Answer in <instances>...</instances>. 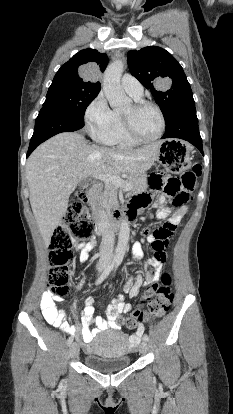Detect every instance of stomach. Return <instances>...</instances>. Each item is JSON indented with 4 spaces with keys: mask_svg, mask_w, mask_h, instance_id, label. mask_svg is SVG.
<instances>
[{
    "mask_svg": "<svg viewBox=\"0 0 233 414\" xmlns=\"http://www.w3.org/2000/svg\"><path fill=\"white\" fill-rule=\"evenodd\" d=\"M159 143L155 161L173 173H181L190 167V148L177 139H166Z\"/></svg>",
    "mask_w": 233,
    "mask_h": 414,
    "instance_id": "obj_1",
    "label": "stomach"
}]
</instances>
